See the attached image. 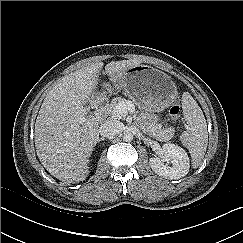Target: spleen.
<instances>
[{"mask_svg": "<svg viewBox=\"0 0 243 243\" xmlns=\"http://www.w3.org/2000/svg\"><path fill=\"white\" fill-rule=\"evenodd\" d=\"M182 109L187 126L180 139L190 152L193 168H197L204 158L208 144L206 119L198 103L188 92L182 95Z\"/></svg>", "mask_w": 243, "mask_h": 243, "instance_id": "obj_1", "label": "spleen"}]
</instances>
